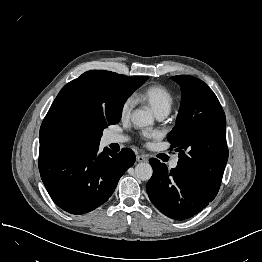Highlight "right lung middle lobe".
I'll return each instance as SVG.
<instances>
[{
    "label": "right lung middle lobe",
    "instance_id": "1",
    "mask_svg": "<svg viewBox=\"0 0 262 262\" xmlns=\"http://www.w3.org/2000/svg\"><path fill=\"white\" fill-rule=\"evenodd\" d=\"M148 77H128L127 83L124 85L123 92L119 93L121 103L112 111L103 113L101 111L89 108L80 123L79 133L88 138L87 144L98 146L102 131L108 125L119 122L123 104L126 100L124 94L129 96L136 88L140 87Z\"/></svg>",
    "mask_w": 262,
    "mask_h": 262
}]
</instances>
